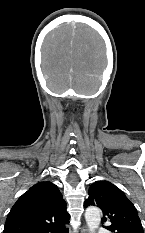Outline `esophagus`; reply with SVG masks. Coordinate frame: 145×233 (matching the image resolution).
Returning a JSON list of instances; mask_svg holds the SVG:
<instances>
[{
  "label": "esophagus",
  "mask_w": 145,
  "mask_h": 233,
  "mask_svg": "<svg viewBox=\"0 0 145 233\" xmlns=\"http://www.w3.org/2000/svg\"><path fill=\"white\" fill-rule=\"evenodd\" d=\"M81 233H88V229L86 227H84L82 230H81Z\"/></svg>",
  "instance_id": "1"
}]
</instances>
